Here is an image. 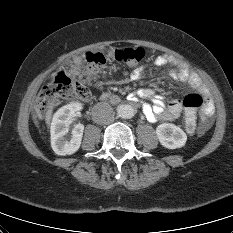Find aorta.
<instances>
[{"instance_id": "1", "label": "aorta", "mask_w": 233, "mask_h": 233, "mask_svg": "<svg viewBox=\"0 0 233 233\" xmlns=\"http://www.w3.org/2000/svg\"><path fill=\"white\" fill-rule=\"evenodd\" d=\"M118 114L121 118L130 119L134 116L135 110L130 105H121L118 108Z\"/></svg>"}]
</instances>
